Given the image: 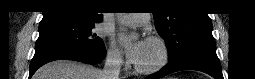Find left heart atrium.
<instances>
[{
	"label": "left heart atrium",
	"instance_id": "left-heart-atrium-1",
	"mask_svg": "<svg viewBox=\"0 0 255 79\" xmlns=\"http://www.w3.org/2000/svg\"><path fill=\"white\" fill-rule=\"evenodd\" d=\"M146 42L144 39H139L126 49V54L131 62H138L144 52Z\"/></svg>",
	"mask_w": 255,
	"mask_h": 79
}]
</instances>
